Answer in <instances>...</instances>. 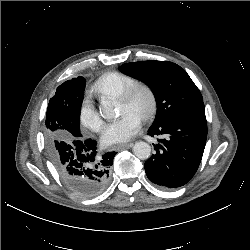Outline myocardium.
I'll list each match as a JSON object with an SVG mask.
<instances>
[{
    "label": "myocardium",
    "instance_id": "f54148a6",
    "mask_svg": "<svg viewBox=\"0 0 250 250\" xmlns=\"http://www.w3.org/2000/svg\"><path fill=\"white\" fill-rule=\"evenodd\" d=\"M144 93L147 97L148 104L146 109L140 116L142 120H148L154 116L157 110V96L153 87L143 81H136L134 84L129 86L123 93H121L117 99L123 103H131L137 94Z\"/></svg>",
    "mask_w": 250,
    "mask_h": 250
}]
</instances>
